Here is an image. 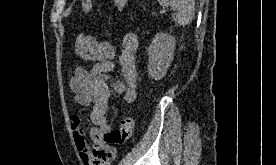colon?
<instances>
[{"instance_id": "colon-1", "label": "colon", "mask_w": 276, "mask_h": 165, "mask_svg": "<svg viewBox=\"0 0 276 165\" xmlns=\"http://www.w3.org/2000/svg\"><path fill=\"white\" fill-rule=\"evenodd\" d=\"M126 3L127 0H113V5L118 9H122ZM74 49L78 57L89 61H105L114 55V49L110 43L98 41L84 34L77 35ZM134 128L133 118L123 117L117 129L103 136V142L108 146L122 144L131 138Z\"/></svg>"}]
</instances>
